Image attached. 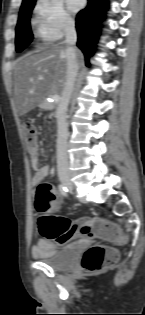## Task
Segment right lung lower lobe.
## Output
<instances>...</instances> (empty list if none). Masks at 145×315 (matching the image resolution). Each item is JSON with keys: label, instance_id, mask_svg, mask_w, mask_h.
<instances>
[{"label": "right lung lower lobe", "instance_id": "1", "mask_svg": "<svg viewBox=\"0 0 145 315\" xmlns=\"http://www.w3.org/2000/svg\"><path fill=\"white\" fill-rule=\"evenodd\" d=\"M106 9L107 0H88L86 8L77 14V46L83 51L88 66L89 57L94 54L95 44L100 34V22L104 18Z\"/></svg>", "mask_w": 145, "mask_h": 315}]
</instances>
